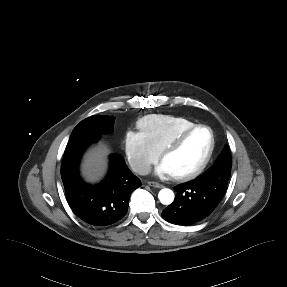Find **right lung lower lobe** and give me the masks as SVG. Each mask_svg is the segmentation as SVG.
<instances>
[{
  "instance_id": "1",
  "label": "right lung lower lobe",
  "mask_w": 287,
  "mask_h": 287,
  "mask_svg": "<svg viewBox=\"0 0 287 287\" xmlns=\"http://www.w3.org/2000/svg\"><path fill=\"white\" fill-rule=\"evenodd\" d=\"M99 138L100 134L95 132L70 137L61 164V177L74 214L89 225L107 226L125 216L131 193L141 186V182L120 155L110 156L108 174L101 183L91 185L82 180L79 173L81 156Z\"/></svg>"
}]
</instances>
